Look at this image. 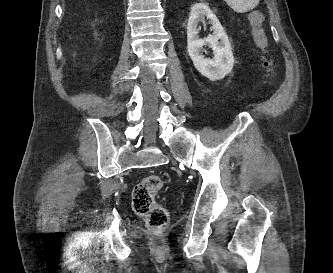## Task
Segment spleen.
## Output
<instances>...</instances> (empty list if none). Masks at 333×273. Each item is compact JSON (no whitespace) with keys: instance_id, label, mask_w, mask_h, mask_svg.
Masks as SVG:
<instances>
[{"instance_id":"3e777b00","label":"spleen","mask_w":333,"mask_h":273,"mask_svg":"<svg viewBox=\"0 0 333 273\" xmlns=\"http://www.w3.org/2000/svg\"><path fill=\"white\" fill-rule=\"evenodd\" d=\"M235 12L244 13L254 9L260 0H224Z\"/></svg>"}]
</instances>
